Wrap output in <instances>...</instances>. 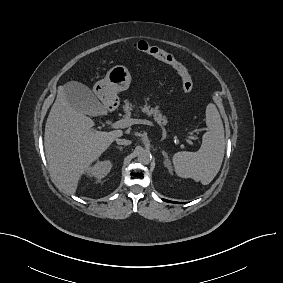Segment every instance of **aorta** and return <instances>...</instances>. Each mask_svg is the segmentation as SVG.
I'll return each instance as SVG.
<instances>
[{
  "instance_id": "obj_1",
  "label": "aorta",
  "mask_w": 283,
  "mask_h": 283,
  "mask_svg": "<svg viewBox=\"0 0 283 283\" xmlns=\"http://www.w3.org/2000/svg\"><path fill=\"white\" fill-rule=\"evenodd\" d=\"M152 155L149 150L143 149L138 153V161L142 164H148L151 161Z\"/></svg>"
}]
</instances>
